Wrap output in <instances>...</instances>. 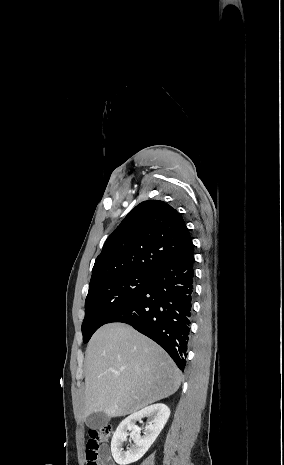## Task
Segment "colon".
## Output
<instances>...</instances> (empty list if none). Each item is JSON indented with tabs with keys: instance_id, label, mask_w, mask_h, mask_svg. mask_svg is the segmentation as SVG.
Here are the masks:
<instances>
[{
	"instance_id": "1",
	"label": "colon",
	"mask_w": 284,
	"mask_h": 465,
	"mask_svg": "<svg viewBox=\"0 0 284 465\" xmlns=\"http://www.w3.org/2000/svg\"><path fill=\"white\" fill-rule=\"evenodd\" d=\"M113 431L110 426H92L85 438V450L87 465H96L97 455L92 451H97L100 446L108 442L112 437Z\"/></svg>"
}]
</instances>
